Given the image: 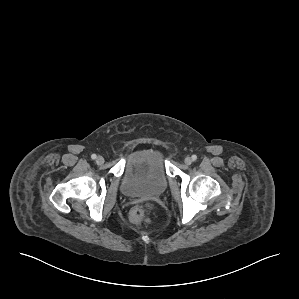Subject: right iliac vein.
I'll return each instance as SVG.
<instances>
[{
  "instance_id": "1",
  "label": "right iliac vein",
  "mask_w": 299,
  "mask_h": 299,
  "mask_svg": "<svg viewBox=\"0 0 299 299\" xmlns=\"http://www.w3.org/2000/svg\"><path fill=\"white\" fill-rule=\"evenodd\" d=\"M96 162H97V164L101 165L104 163V158L102 156H98L96 158Z\"/></svg>"
}]
</instances>
